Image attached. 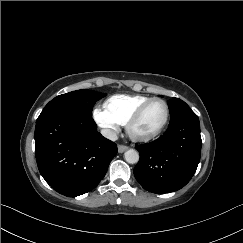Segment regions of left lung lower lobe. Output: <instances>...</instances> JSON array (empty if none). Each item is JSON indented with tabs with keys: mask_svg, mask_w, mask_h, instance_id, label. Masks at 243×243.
<instances>
[{
	"mask_svg": "<svg viewBox=\"0 0 243 243\" xmlns=\"http://www.w3.org/2000/svg\"><path fill=\"white\" fill-rule=\"evenodd\" d=\"M197 115L184 116L169 124L153 142L137 146L140 159L134 176L152 193H169L184 187L194 175L201 153Z\"/></svg>",
	"mask_w": 243,
	"mask_h": 243,
	"instance_id": "0a47b994",
	"label": "left lung lower lobe"
}]
</instances>
